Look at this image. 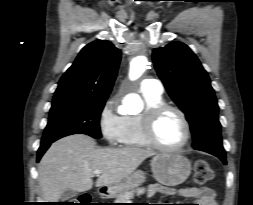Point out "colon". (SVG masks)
I'll list each match as a JSON object with an SVG mask.
<instances>
[{
	"mask_svg": "<svg viewBox=\"0 0 253 205\" xmlns=\"http://www.w3.org/2000/svg\"><path fill=\"white\" fill-rule=\"evenodd\" d=\"M214 173L210 165L204 160H198L194 165V182L196 184H205L213 179ZM90 197L81 195L74 199L70 205H90Z\"/></svg>",
	"mask_w": 253,
	"mask_h": 205,
	"instance_id": "colon-1",
	"label": "colon"
}]
</instances>
